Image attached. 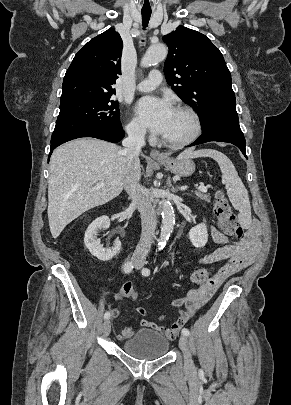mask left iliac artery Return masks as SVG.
Returning <instances> with one entry per match:
<instances>
[{
    "label": "left iliac artery",
    "mask_w": 291,
    "mask_h": 405,
    "mask_svg": "<svg viewBox=\"0 0 291 405\" xmlns=\"http://www.w3.org/2000/svg\"><path fill=\"white\" fill-rule=\"evenodd\" d=\"M142 275H143V276H149V275H150V269H148V268H143V270H142ZM182 334L185 335V336H189V335H190V332H189V330H188L187 328H183V329H182Z\"/></svg>",
    "instance_id": "1"
}]
</instances>
